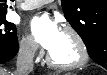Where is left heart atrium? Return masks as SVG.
<instances>
[{
  "label": "left heart atrium",
  "mask_w": 107,
  "mask_h": 75,
  "mask_svg": "<svg viewBox=\"0 0 107 75\" xmlns=\"http://www.w3.org/2000/svg\"><path fill=\"white\" fill-rule=\"evenodd\" d=\"M30 28L36 41L49 52L55 48L62 33L58 24L46 14L33 18Z\"/></svg>",
  "instance_id": "39dd6f15"
}]
</instances>
